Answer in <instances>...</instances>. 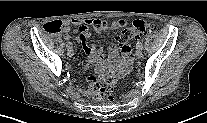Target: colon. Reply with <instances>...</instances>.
Here are the masks:
<instances>
[{"mask_svg": "<svg viewBox=\"0 0 207 123\" xmlns=\"http://www.w3.org/2000/svg\"><path fill=\"white\" fill-rule=\"evenodd\" d=\"M90 27L96 31L101 32L109 27V24L103 20H93L89 22ZM43 31L49 34L59 33L62 30V21L55 20L47 22L42 27ZM156 30V26L152 22L143 20H135L131 27L125 28L120 37L119 45L124 52L128 46V42L135 36L145 33L153 32ZM117 87V79L115 77H109L101 83H96L93 88L92 98L96 102H102L112 100L114 98V91Z\"/></svg>", "mask_w": 207, "mask_h": 123, "instance_id": "1", "label": "colon"}]
</instances>
